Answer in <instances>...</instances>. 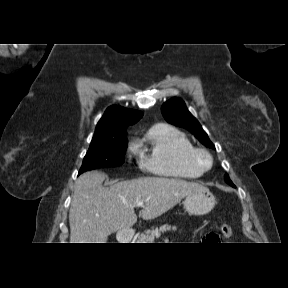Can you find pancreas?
Listing matches in <instances>:
<instances>
[{
	"mask_svg": "<svg viewBox=\"0 0 288 288\" xmlns=\"http://www.w3.org/2000/svg\"><path fill=\"white\" fill-rule=\"evenodd\" d=\"M176 227L171 228V226L169 225H163L159 228H152L149 230H146L144 233H142L141 235H139L138 237V243H151L155 240V238H159L161 233H164L166 231H170V230H176Z\"/></svg>",
	"mask_w": 288,
	"mask_h": 288,
	"instance_id": "pancreas-1",
	"label": "pancreas"
}]
</instances>
